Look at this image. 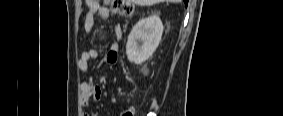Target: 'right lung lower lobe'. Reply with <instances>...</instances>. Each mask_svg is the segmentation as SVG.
Masks as SVG:
<instances>
[{
	"label": "right lung lower lobe",
	"mask_w": 283,
	"mask_h": 116,
	"mask_svg": "<svg viewBox=\"0 0 283 116\" xmlns=\"http://www.w3.org/2000/svg\"><path fill=\"white\" fill-rule=\"evenodd\" d=\"M184 2H185V4H186V6H187V4H188V0H184Z\"/></svg>",
	"instance_id": "obj_1"
}]
</instances>
